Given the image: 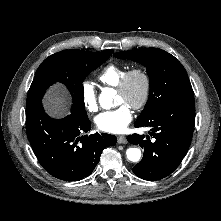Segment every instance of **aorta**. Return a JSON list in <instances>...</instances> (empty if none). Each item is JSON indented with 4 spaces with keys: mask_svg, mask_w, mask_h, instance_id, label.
Returning a JSON list of instances; mask_svg holds the SVG:
<instances>
[{
    "mask_svg": "<svg viewBox=\"0 0 221 221\" xmlns=\"http://www.w3.org/2000/svg\"><path fill=\"white\" fill-rule=\"evenodd\" d=\"M114 96L112 89H105L99 96V103L102 108L110 109L113 106L112 97ZM126 157L129 161L138 162L141 158V150L139 148H129L126 151Z\"/></svg>",
    "mask_w": 221,
    "mask_h": 221,
    "instance_id": "obj_1",
    "label": "aorta"
}]
</instances>
